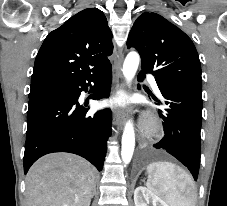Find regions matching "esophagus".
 <instances>
[{"mask_svg":"<svg viewBox=\"0 0 227 206\" xmlns=\"http://www.w3.org/2000/svg\"><path fill=\"white\" fill-rule=\"evenodd\" d=\"M124 58V54L121 51L119 54V57L115 63V70H116V76H115V82H116V89H123L124 82L122 78L121 73V67H122V61ZM114 120L118 127H122L124 125L125 121V111L123 108L116 107L114 110Z\"/></svg>","mask_w":227,"mask_h":206,"instance_id":"1","label":"esophagus"}]
</instances>
